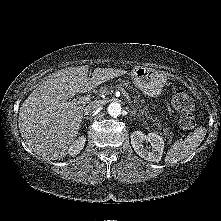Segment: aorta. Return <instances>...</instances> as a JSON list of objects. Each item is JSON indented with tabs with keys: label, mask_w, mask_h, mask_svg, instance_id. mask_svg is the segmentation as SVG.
I'll return each mask as SVG.
<instances>
[{
	"label": "aorta",
	"mask_w": 221,
	"mask_h": 221,
	"mask_svg": "<svg viewBox=\"0 0 221 221\" xmlns=\"http://www.w3.org/2000/svg\"><path fill=\"white\" fill-rule=\"evenodd\" d=\"M121 105L117 102H112L108 106V114L112 117H118L121 114Z\"/></svg>",
	"instance_id": "1"
}]
</instances>
